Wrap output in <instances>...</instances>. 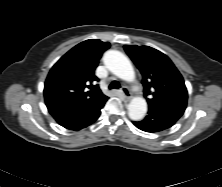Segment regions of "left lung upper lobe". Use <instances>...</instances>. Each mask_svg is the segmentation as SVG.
I'll list each match as a JSON object with an SVG mask.
<instances>
[{"mask_svg":"<svg viewBox=\"0 0 222 187\" xmlns=\"http://www.w3.org/2000/svg\"><path fill=\"white\" fill-rule=\"evenodd\" d=\"M124 49L142 74L149 106L187 105L183 77L165 54L149 46L125 45Z\"/></svg>","mask_w":222,"mask_h":187,"instance_id":"1","label":"left lung upper lobe"}]
</instances>
